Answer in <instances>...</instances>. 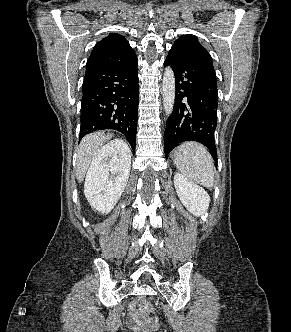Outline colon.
Listing matches in <instances>:
<instances>
[{"label": "colon", "mask_w": 291, "mask_h": 332, "mask_svg": "<svg viewBox=\"0 0 291 332\" xmlns=\"http://www.w3.org/2000/svg\"><path fill=\"white\" fill-rule=\"evenodd\" d=\"M141 310L144 312V313H152L153 311V306L150 302H142L141 303Z\"/></svg>", "instance_id": "1"}]
</instances>
